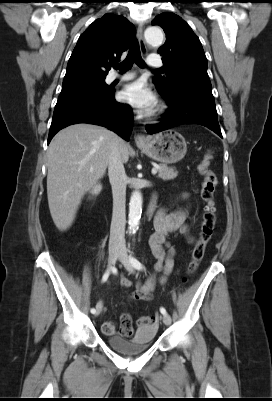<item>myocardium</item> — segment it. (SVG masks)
Returning a JSON list of instances; mask_svg holds the SVG:
<instances>
[{
  "label": "myocardium",
  "mask_w": 272,
  "mask_h": 401,
  "mask_svg": "<svg viewBox=\"0 0 272 401\" xmlns=\"http://www.w3.org/2000/svg\"><path fill=\"white\" fill-rule=\"evenodd\" d=\"M163 112H164V107H161V108L158 110V115L163 114Z\"/></svg>",
  "instance_id": "1"
}]
</instances>
